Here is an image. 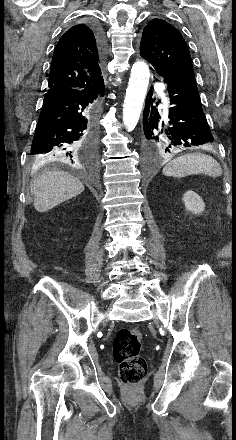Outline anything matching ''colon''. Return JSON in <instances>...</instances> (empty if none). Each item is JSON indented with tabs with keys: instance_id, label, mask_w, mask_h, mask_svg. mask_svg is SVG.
Returning a JSON list of instances; mask_svg holds the SVG:
<instances>
[{
	"instance_id": "colon-1",
	"label": "colon",
	"mask_w": 236,
	"mask_h": 440,
	"mask_svg": "<svg viewBox=\"0 0 236 440\" xmlns=\"http://www.w3.org/2000/svg\"><path fill=\"white\" fill-rule=\"evenodd\" d=\"M142 335L135 328H122L115 336L113 355L125 385L141 383L147 376V362L141 355Z\"/></svg>"
}]
</instances>
